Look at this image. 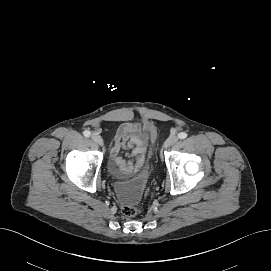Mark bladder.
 I'll list each match as a JSON object with an SVG mask.
<instances>
[{
	"instance_id": "obj_1",
	"label": "bladder",
	"mask_w": 271,
	"mask_h": 271,
	"mask_svg": "<svg viewBox=\"0 0 271 271\" xmlns=\"http://www.w3.org/2000/svg\"><path fill=\"white\" fill-rule=\"evenodd\" d=\"M149 178L150 172L146 169L130 181L115 182L113 188L116 198L125 204L134 205L138 203L142 198Z\"/></svg>"
}]
</instances>
